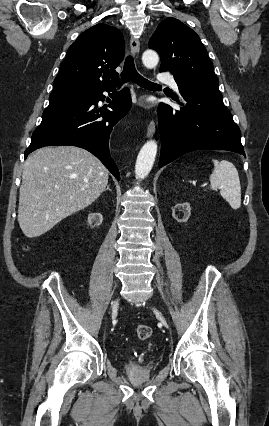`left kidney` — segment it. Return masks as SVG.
I'll list each match as a JSON object with an SVG mask.
<instances>
[{
	"label": "left kidney",
	"instance_id": "5707ae66",
	"mask_svg": "<svg viewBox=\"0 0 269 426\" xmlns=\"http://www.w3.org/2000/svg\"><path fill=\"white\" fill-rule=\"evenodd\" d=\"M177 211H184V215L178 216ZM191 214V206L188 202L178 203L172 208V216L180 222H186Z\"/></svg>",
	"mask_w": 269,
	"mask_h": 426
}]
</instances>
